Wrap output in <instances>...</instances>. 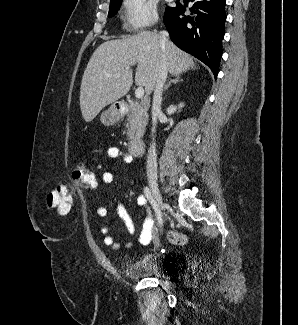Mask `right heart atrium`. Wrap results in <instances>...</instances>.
Here are the masks:
<instances>
[{
	"label": "right heart atrium",
	"instance_id": "right-heart-atrium-1",
	"mask_svg": "<svg viewBox=\"0 0 298 325\" xmlns=\"http://www.w3.org/2000/svg\"><path fill=\"white\" fill-rule=\"evenodd\" d=\"M124 11L130 32L151 25L156 18V4L153 0H127Z\"/></svg>",
	"mask_w": 298,
	"mask_h": 325
}]
</instances>
